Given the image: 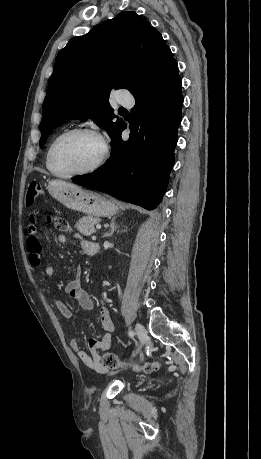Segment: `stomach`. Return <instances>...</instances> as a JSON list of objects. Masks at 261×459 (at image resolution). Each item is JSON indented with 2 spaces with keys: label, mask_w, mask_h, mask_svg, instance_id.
<instances>
[{
  "label": "stomach",
  "mask_w": 261,
  "mask_h": 459,
  "mask_svg": "<svg viewBox=\"0 0 261 459\" xmlns=\"http://www.w3.org/2000/svg\"><path fill=\"white\" fill-rule=\"evenodd\" d=\"M48 190L54 199L68 209L89 216L109 217L118 211V206L114 201L66 181L52 180L48 184Z\"/></svg>",
  "instance_id": "0dacf381"
}]
</instances>
